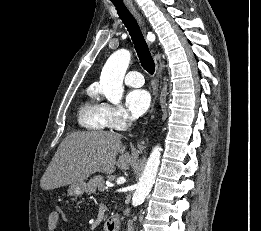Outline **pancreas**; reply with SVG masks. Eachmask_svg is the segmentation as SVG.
<instances>
[{"mask_svg":"<svg viewBox=\"0 0 261 231\" xmlns=\"http://www.w3.org/2000/svg\"><path fill=\"white\" fill-rule=\"evenodd\" d=\"M104 178L101 175L94 176L91 178L86 187H85V192L90 195L96 192V189L104 188Z\"/></svg>","mask_w":261,"mask_h":231,"instance_id":"1","label":"pancreas"}]
</instances>
